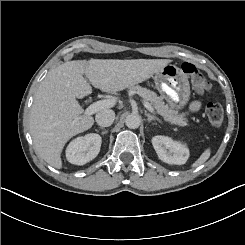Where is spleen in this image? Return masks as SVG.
I'll return each instance as SVG.
<instances>
[{
    "label": "spleen",
    "mask_w": 245,
    "mask_h": 245,
    "mask_svg": "<svg viewBox=\"0 0 245 245\" xmlns=\"http://www.w3.org/2000/svg\"><path fill=\"white\" fill-rule=\"evenodd\" d=\"M209 156V152H204V154L194 163V166H199L203 164Z\"/></svg>",
    "instance_id": "1"
}]
</instances>
